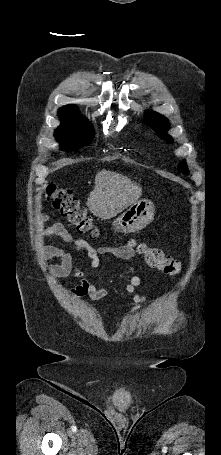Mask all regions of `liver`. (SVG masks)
<instances>
[{
  "label": "liver",
  "mask_w": 221,
  "mask_h": 455,
  "mask_svg": "<svg viewBox=\"0 0 221 455\" xmlns=\"http://www.w3.org/2000/svg\"><path fill=\"white\" fill-rule=\"evenodd\" d=\"M141 194L142 188L127 176L103 169L95 176L87 206L95 216L110 219L137 202Z\"/></svg>",
  "instance_id": "obj_1"
}]
</instances>
